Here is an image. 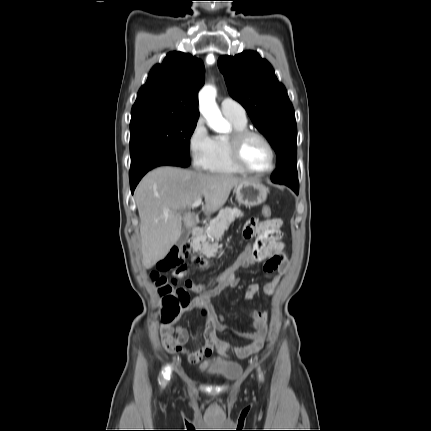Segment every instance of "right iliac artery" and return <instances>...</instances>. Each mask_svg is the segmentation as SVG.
<instances>
[{
    "label": "right iliac artery",
    "instance_id": "obj_1",
    "mask_svg": "<svg viewBox=\"0 0 431 431\" xmlns=\"http://www.w3.org/2000/svg\"><path fill=\"white\" fill-rule=\"evenodd\" d=\"M170 373H171V368L168 366V367L165 368L164 378L169 379L170 378Z\"/></svg>",
    "mask_w": 431,
    "mask_h": 431
}]
</instances>
